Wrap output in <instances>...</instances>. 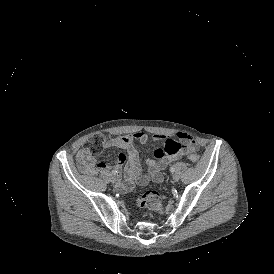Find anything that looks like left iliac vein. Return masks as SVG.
<instances>
[{
  "label": "left iliac vein",
  "instance_id": "4c4485c4",
  "mask_svg": "<svg viewBox=\"0 0 274 274\" xmlns=\"http://www.w3.org/2000/svg\"><path fill=\"white\" fill-rule=\"evenodd\" d=\"M179 179H180V176H179L178 174H174V175H173V181H174V182H178Z\"/></svg>",
  "mask_w": 274,
  "mask_h": 274
}]
</instances>
